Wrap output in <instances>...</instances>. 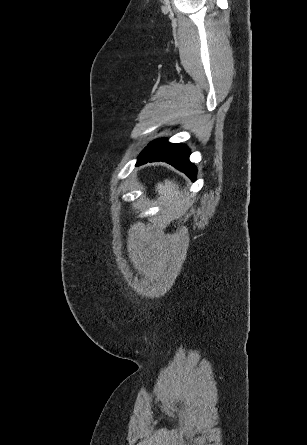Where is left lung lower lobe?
Returning <instances> with one entry per match:
<instances>
[{
  "label": "left lung lower lobe",
  "instance_id": "obj_1",
  "mask_svg": "<svg viewBox=\"0 0 307 445\" xmlns=\"http://www.w3.org/2000/svg\"><path fill=\"white\" fill-rule=\"evenodd\" d=\"M190 151L183 144H172L166 139L151 142L141 152L136 166L147 162L165 161L184 172L192 181L196 180V167L189 161Z\"/></svg>",
  "mask_w": 307,
  "mask_h": 445
}]
</instances>
